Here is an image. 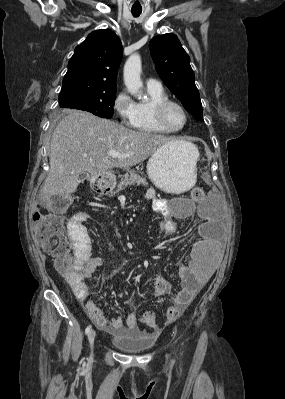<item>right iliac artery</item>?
I'll list each match as a JSON object with an SVG mask.
<instances>
[{"label":"right iliac artery","mask_w":285,"mask_h":399,"mask_svg":"<svg viewBox=\"0 0 285 399\" xmlns=\"http://www.w3.org/2000/svg\"><path fill=\"white\" fill-rule=\"evenodd\" d=\"M91 329V325H88L85 329V334H88Z\"/></svg>","instance_id":"obj_1"}]
</instances>
